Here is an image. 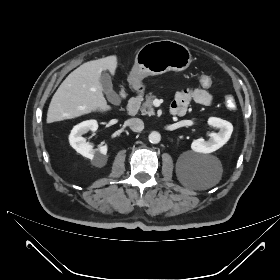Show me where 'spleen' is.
<instances>
[{
  "label": "spleen",
  "instance_id": "spleen-1",
  "mask_svg": "<svg viewBox=\"0 0 280 280\" xmlns=\"http://www.w3.org/2000/svg\"><path fill=\"white\" fill-rule=\"evenodd\" d=\"M217 182H218V180L208 182L207 185H206V188L214 186Z\"/></svg>",
  "mask_w": 280,
  "mask_h": 280
}]
</instances>
